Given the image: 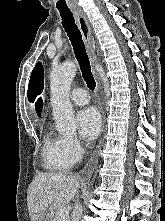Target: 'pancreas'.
<instances>
[{
  "label": "pancreas",
  "instance_id": "pancreas-1",
  "mask_svg": "<svg viewBox=\"0 0 165 221\" xmlns=\"http://www.w3.org/2000/svg\"><path fill=\"white\" fill-rule=\"evenodd\" d=\"M51 221H70V217L69 216L66 218L60 217L57 209L55 212H53Z\"/></svg>",
  "mask_w": 165,
  "mask_h": 221
}]
</instances>
